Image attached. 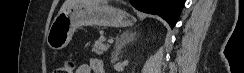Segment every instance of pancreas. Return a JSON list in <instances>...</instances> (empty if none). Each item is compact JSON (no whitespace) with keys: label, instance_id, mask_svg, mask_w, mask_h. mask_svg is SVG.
Listing matches in <instances>:
<instances>
[{"label":"pancreas","instance_id":"cf45deb5","mask_svg":"<svg viewBox=\"0 0 244 73\" xmlns=\"http://www.w3.org/2000/svg\"><path fill=\"white\" fill-rule=\"evenodd\" d=\"M105 38L103 36H101L94 44L92 51L94 53H96L97 55H102L104 52L107 51L108 49V45H106L105 43Z\"/></svg>","mask_w":244,"mask_h":73}]
</instances>
